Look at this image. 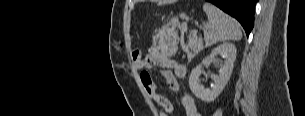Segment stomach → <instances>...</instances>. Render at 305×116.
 <instances>
[{"mask_svg":"<svg viewBox=\"0 0 305 116\" xmlns=\"http://www.w3.org/2000/svg\"><path fill=\"white\" fill-rule=\"evenodd\" d=\"M180 17L181 18H185L186 16H185V14H181Z\"/></svg>","mask_w":305,"mask_h":116,"instance_id":"0dacf381","label":"stomach"}]
</instances>
